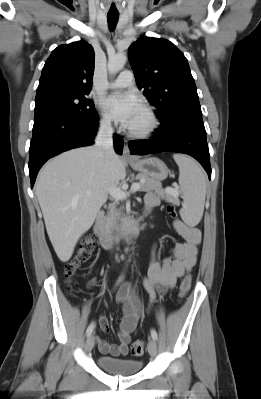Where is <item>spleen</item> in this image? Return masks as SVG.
<instances>
[{
	"instance_id": "obj_1",
	"label": "spleen",
	"mask_w": 261,
	"mask_h": 399,
	"mask_svg": "<svg viewBox=\"0 0 261 399\" xmlns=\"http://www.w3.org/2000/svg\"><path fill=\"white\" fill-rule=\"evenodd\" d=\"M173 158L179 167V185L183 194L180 215L188 226H196L204 212L206 175L192 158L182 154H174Z\"/></svg>"
}]
</instances>
